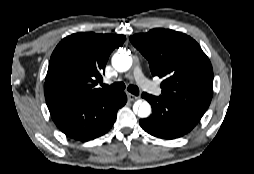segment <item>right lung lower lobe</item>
Returning <instances> with one entry per match:
<instances>
[{
  "instance_id": "1",
  "label": "right lung lower lobe",
  "mask_w": 254,
  "mask_h": 174,
  "mask_svg": "<svg viewBox=\"0 0 254 174\" xmlns=\"http://www.w3.org/2000/svg\"><path fill=\"white\" fill-rule=\"evenodd\" d=\"M126 101L124 92L111 96H80L49 111L64 134L79 141H88L105 134L113 126L118 109Z\"/></svg>"
}]
</instances>
